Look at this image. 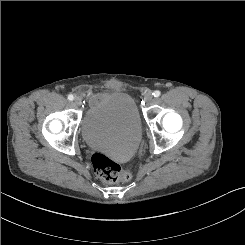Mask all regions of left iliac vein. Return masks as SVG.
<instances>
[{
    "label": "left iliac vein",
    "mask_w": 245,
    "mask_h": 245,
    "mask_svg": "<svg viewBox=\"0 0 245 245\" xmlns=\"http://www.w3.org/2000/svg\"><path fill=\"white\" fill-rule=\"evenodd\" d=\"M144 99H145V102H146V103H150V102L152 101V99H153V94L150 93V92H148V93L145 95Z\"/></svg>",
    "instance_id": "obj_1"
}]
</instances>
